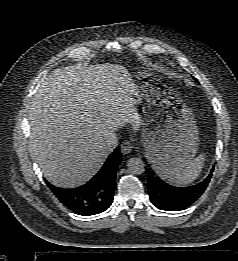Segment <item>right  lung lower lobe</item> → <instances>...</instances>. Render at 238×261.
Here are the masks:
<instances>
[{
  "label": "right lung lower lobe",
  "instance_id": "obj_1",
  "mask_svg": "<svg viewBox=\"0 0 238 261\" xmlns=\"http://www.w3.org/2000/svg\"><path fill=\"white\" fill-rule=\"evenodd\" d=\"M121 162L119 147L108 157L102 169L86 184L63 189L50 185L53 193L70 210L85 216L99 214L113 202L116 170Z\"/></svg>",
  "mask_w": 238,
  "mask_h": 261
}]
</instances>
